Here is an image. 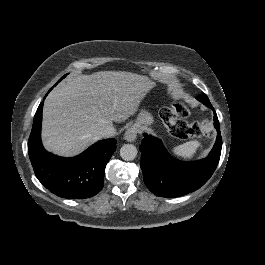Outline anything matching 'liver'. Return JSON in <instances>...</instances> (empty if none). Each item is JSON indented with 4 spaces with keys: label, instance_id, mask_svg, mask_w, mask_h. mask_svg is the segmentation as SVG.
<instances>
[{
    "label": "liver",
    "instance_id": "obj_1",
    "mask_svg": "<svg viewBox=\"0 0 265 265\" xmlns=\"http://www.w3.org/2000/svg\"><path fill=\"white\" fill-rule=\"evenodd\" d=\"M153 79L129 71L77 74L57 85L42 110L41 142L53 155L75 157L104 139L107 127L133 114Z\"/></svg>",
    "mask_w": 265,
    "mask_h": 265
}]
</instances>
